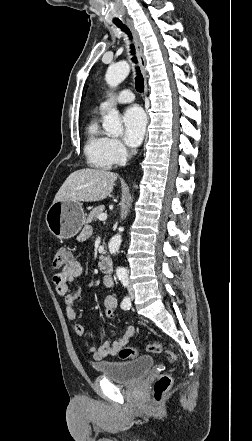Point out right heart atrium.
I'll return each mask as SVG.
<instances>
[{
    "instance_id": "1",
    "label": "right heart atrium",
    "mask_w": 252,
    "mask_h": 441,
    "mask_svg": "<svg viewBox=\"0 0 252 441\" xmlns=\"http://www.w3.org/2000/svg\"><path fill=\"white\" fill-rule=\"evenodd\" d=\"M109 151L115 164L122 163L128 156V150L122 142L116 138H110Z\"/></svg>"
}]
</instances>
